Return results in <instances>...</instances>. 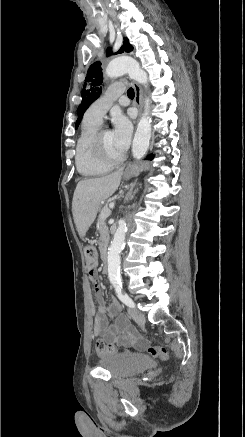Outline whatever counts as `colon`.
<instances>
[{
  "label": "colon",
  "instance_id": "1",
  "mask_svg": "<svg viewBox=\"0 0 245 437\" xmlns=\"http://www.w3.org/2000/svg\"><path fill=\"white\" fill-rule=\"evenodd\" d=\"M84 255L87 271L89 274H92L95 272L98 264L97 251L93 246H86ZM96 351L100 355L115 353L117 351V347L113 343H105L102 339H97ZM146 352L154 358L166 359L168 357L167 350L162 346H147Z\"/></svg>",
  "mask_w": 245,
  "mask_h": 437
}]
</instances>
